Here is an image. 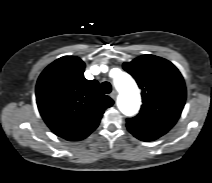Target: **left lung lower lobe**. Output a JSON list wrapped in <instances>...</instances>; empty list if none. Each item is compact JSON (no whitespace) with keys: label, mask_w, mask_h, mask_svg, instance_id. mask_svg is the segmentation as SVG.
Wrapping results in <instances>:
<instances>
[{"label":"left lung lower lobe","mask_w":212,"mask_h":183,"mask_svg":"<svg viewBox=\"0 0 212 183\" xmlns=\"http://www.w3.org/2000/svg\"><path fill=\"white\" fill-rule=\"evenodd\" d=\"M136 138L140 139V140H143V141H152V140H155L157 139L158 137L157 136H152V135H145V134H142V133H138V132H132L130 131Z\"/></svg>","instance_id":"0a47b994"}]
</instances>
